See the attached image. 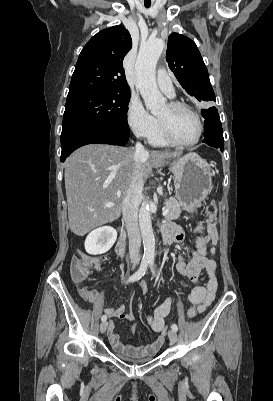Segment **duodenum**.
<instances>
[{"instance_id":"obj_1","label":"duodenum","mask_w":273,"mask_h":401,"mask_svg":"<svg viewBox=\"0 0 273 401\" xmlns=\"http://www.w3.org/2000/svg\"><path fill=\"white\" fill-rule=\"evenodd\" d=\"M163 243L165 245H169L171 243L170 237L165 233L163 234ZM125 250H126V244H125L124 238L121 237L119 242H118V244H117V252L120 255H124L125 254Z\"/></svg>"}]
</instances>
